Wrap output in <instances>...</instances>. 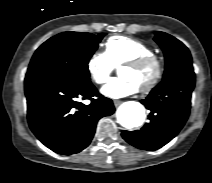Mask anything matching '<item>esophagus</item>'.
I'll return each mask as SVG.
<instances>
[{"label":"esophagus","mask_w":212,"mask_h":183,"mask_svg":"<svg viewBox=\"0 0 212 183\" xmlns=\"http://www.w3.org/2000/svg\"><path fill=\"white\" fill-rule=\"evenodd\" d=\"M114 105L117 107L119 106L122 102L120 100H114L113 101Z\"/></svg>","instance_id":"34e87169"}]
</instances>
